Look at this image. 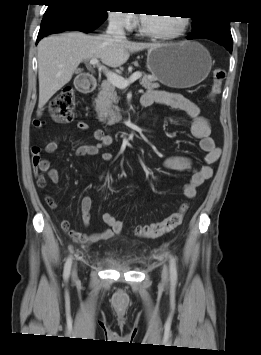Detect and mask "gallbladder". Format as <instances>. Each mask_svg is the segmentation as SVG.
<instances>
[{
	"label": "gallbladder",
	"instance_id": "1",
	"mask_svg": "<svg viewBox=\"0 0 261 355\" xmlns=\"http://www.w3.org/2000/svg\"><path fill=\"white\" fill-rule=\"evenodd\" d=\"M80 71H81L80 69H77V70H76L77 73L80 72Z\"/></svg>",
	"mask_w": 261,
	"mask_h": 355
}]
</instances>
